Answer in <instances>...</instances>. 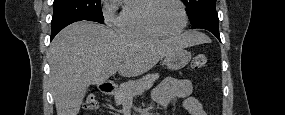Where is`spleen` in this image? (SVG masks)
<instances>
[{
  "label": "spleen",
  "mask_w": 285,
  "mask_h": 115,
  "mask_svg": "<svg viewBox=\"0 0 285 115\" xmlns=\"http://www.w3.org/2000/svg\"><path fill=\"white\" fill-rule=\"evenodd\" d=\"M199 36H200L201 41L203 42H206L208 40V38L202 33H199Z\"/></svg>",
  "instance_id": "spleen-1"
}]
</instances>
